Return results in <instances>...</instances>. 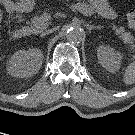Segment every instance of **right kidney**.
Wrapping results in <instances>:
<instances>
[{
    "label": "right kidney",
    "instance_id": "right-kidney-1",
    "mask_svg": "<svg viewBox=\"0 0 135 135\" xmlns=\"http://www.w3.org/2000/svg\"><path fill=\"white\" fill-rule=\"evenodd\" d=\"M43 54L37 48L15 52L7 63V71L17 78L31 77L42 65Z\"/></svg>",
    "mask_w": 135,
    "mask_h": 135
}]
</instances>
